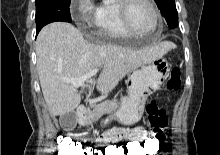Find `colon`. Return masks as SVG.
Returning a JSON list of instances; mask_svg holds the SVG:
<instances>
[{"mask_svg": "<svg viewBox=\"0 0 220 155\" xmlns=\"http://www.w3.org/2000/svg\"><path fill=\"white\" fill-rule=\"evenodd\" d=\"M181 86V73L178 67H172L166 82L170 91H178ZM148 125L151 135L145 139H129L123 146H107V144H90L68 138L57 143L60 155H160V147L167 144V118L165 111L155 101L147 107ZM120 130V129H119Z\"/></svg>", "mask_w": 220, "mask_h": 155, "instance_id": "1", "label": "colon"}]
</instances>
